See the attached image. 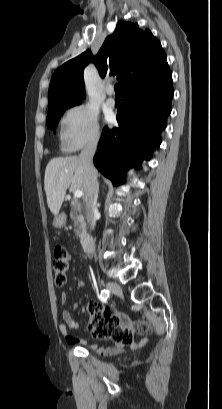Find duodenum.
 <instances>
[{"mask_svg": "<svg viewBox=\"0 0 222 409\" xmlns=\"http://www.w3.org/2000/svg\"><path fill=\"white\" fill-rule=\"evenodd\" d=\"M80 241L85 252L88 254H92L95 246L93 238L86 234H81Z\"/></svg>", "mask_w": 222, "mask_h": 409, "instance_id": "obj_1", "label": "duodenum"}]
</instances>
